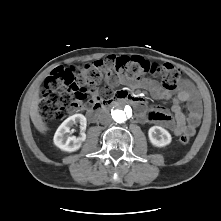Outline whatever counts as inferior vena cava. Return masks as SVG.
Returning <instances> with one entry per match:
<instances>
[{
  "label": "inferior vena cava",
  "instance_id": "obj_1",
  "mask_svg": "<svg viewBox=\"0 0 221 221\" xmlns=\"http://www.w3.org/2000/svg\"><path fill=\"white\" fill-rule=\"evenodd\" d=\"M99 121L102 124H110L112 119L109 113L103 112L99 115Z\"/></svg>",
  "mask_w": 221,
  "mask_h": 221
}]
</instances>
